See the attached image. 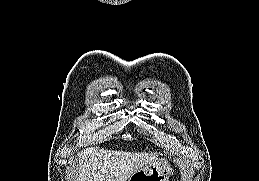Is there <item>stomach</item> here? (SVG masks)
I'll return each mask as SVG.
<instances>
[{
  "mask_svg": "<svg viewBox=\"0 0 259 181\" xmlns=\"http://www.w3.org/2000/svg\"><path fill=\"white\" fill-rule=\"evenodd\" d=\"M169 174V165L163 160H156L132 174L128 181H168Z\"/></svg>",
  "mask_w": 259,
  "mask_h": 181,
  "instance_id": "obj_1",
  "label": "stomach"
}]
</instances>
